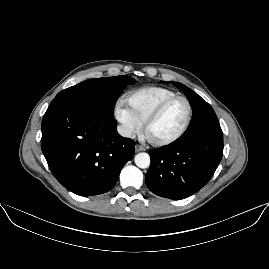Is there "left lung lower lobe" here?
<instances>
[{
	"mask_svg": "<svg viewBox=\"0 0 269 269\" xmlns=\"http://www.w3.org/2000/svg\"><path fill=\"white\" fill-rule=\"evenodd\" d=\"M151 166L146 185L158 196L184 199L205 186L213 176L223 154L222 131H210L192 138H180L149 151Z\"/></svg>",
	"mask_w": 269,
	"mask_h": 269,
	"instance_id": "0a47b994",
	"label": "left lung lower lobe"
}]
</instances>
